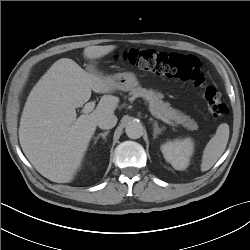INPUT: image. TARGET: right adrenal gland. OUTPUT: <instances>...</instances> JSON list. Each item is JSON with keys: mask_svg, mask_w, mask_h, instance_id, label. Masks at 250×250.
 Wrapping results in <instances>:
<instances>
[{"mask_svg": "<svg viewBox=\"0 0 250 250\" xmlns=\"http://www.w3.org/2000/svg\"><path fill=\"white\" fill-rule=\"evenodd\" d=\"M109 134V131H106L104 133H100L96 138H95V144L97 143L98 139L102 137L104 140H106V136Z\"/></svg>", "mask_w": 250, "mask_h": 250, "instance_id": "1", "label": "right adrenal gland"}]
</instances>
